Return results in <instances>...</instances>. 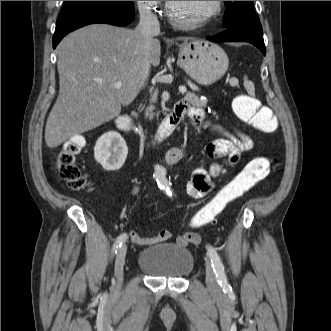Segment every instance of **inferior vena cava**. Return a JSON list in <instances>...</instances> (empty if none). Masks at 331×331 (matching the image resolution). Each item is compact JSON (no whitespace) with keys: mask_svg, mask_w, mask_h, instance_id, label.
I'll use <instances>...</instances> for the list:
<instances>
[{"mask_svg":"<svg viewBox=\"0 0 331 331\" xmlns=\"http://www.w3.org/2000/svg\"><path fill=\"white\" fill-rule=\"evenodd\" d=\"M138 30L146 39V44H149L152 38L160 33V25L157 16L153 14L150 8L144 7L140 9V23ZM149 64L146 63L145 72L148 76Z\"/></svg>","mask_w":331,"mask_h":331,"instance_id":"obj_1","label":"inferior vena cava"}]
</instances>
